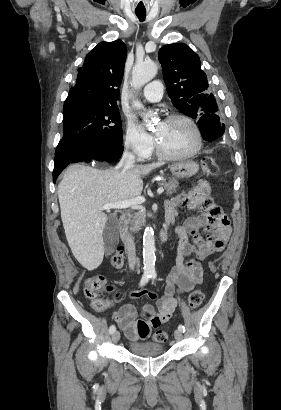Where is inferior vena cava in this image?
<instances>
[{
	"mask_svg": "<svg viewBox=\"0 0 281 410\" xmlns=\"http://www.w3.org/2000/svg\"><path fill=\"white\" fill-rule=\"evenodd\" d=\"M134 164H135V156L126 149L116 169L128 170L134 167ZM126 250H127L129 268L131 270H134V267L136 264V250H135V243L132 237L127 238Z\"/></svg>",
	"mask_w": 281,
	"mask_h": 410,
	"instance_id": "602c4592",
	"label": "inferior vena cava"
}]
</instances>
